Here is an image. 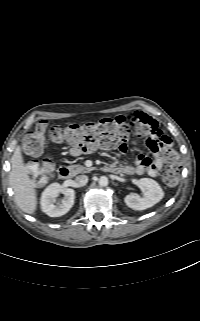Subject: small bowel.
Segmentation results:
<instances>
[{
    "mask_svg": "<svg viewBox=\"0 0 200 321\" xmlns=\"http://www.w3.org/2000/svg\"><path fill=\"white\" fill-rule=\"evenodd\" d=\"M122 117L130 122L146 125L149 131L146 146L151 155L139 154L134 165L116 167L118 172L126 175L147 174L151 177L157 176L165 162V154L171 145L170 138L158 127L153 118L144 113L131 112Z\"/></svg>",
    "mask_w": 200,
    "mask_h": 321,
    "instance_id": "c3829d8e",
    "label": "small bowel"
}]
</instances>
